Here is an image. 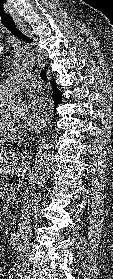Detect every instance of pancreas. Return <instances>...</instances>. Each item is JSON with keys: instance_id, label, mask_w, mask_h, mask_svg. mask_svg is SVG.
<instances>
[{"instance_id": "1", "label": "pancreas", "mask_w": 113, "mask_h": 279, "mask_svg": "<svg viewBox=\"0 0 113 279\" xmlns=\"http://www.w3.org/2000/svg\"><path fill=\"white\" fill-rule=\"evenodd\" d=\"M12 187V185H10L9 183H5L3 188H0V197L1 196H9L10 193V188ZM13 223L15 222V220L12 221Z\"/></svg>"}]
</instances>
